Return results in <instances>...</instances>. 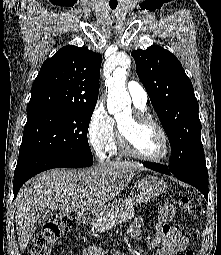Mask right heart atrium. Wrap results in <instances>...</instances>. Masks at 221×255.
<instances>
[{"mask_svg":"<svg viewBox=\"0 0 221 255\" xmlns=\"http://www.w3.org/2000/svg\"><path fill=\"white\" fill-rule=\"evenodd\" d=\"M115 129V122L103 104L98 103L93 109L86 127V135L93 153L103 158L106 147Z\"/></svg>","mask_w":221,"mask_h":255,"instance_id":"right-heart-atrium-1","label":"right heart atrium"}]
</instances>
